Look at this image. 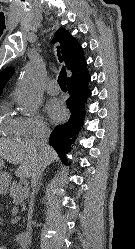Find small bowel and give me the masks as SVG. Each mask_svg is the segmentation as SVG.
<instances>
[{
    "instance_id": "c3829d8e",
    "label": "small bowel",
    "mask_w": 135,
    "mask_h": 249,
    "mask_svg": "<svg viewBox=\"0 0 135 249\" xmlns=\"http://www.w3.org/2000/svg\"><path fill=\"white\" fill-rule=\"evenodd\" d=\"M0 249H5L4 247L0 246Z\"/></svg>"
}]
</instances>
